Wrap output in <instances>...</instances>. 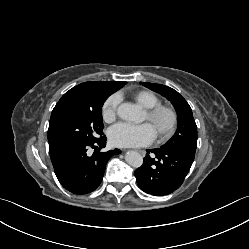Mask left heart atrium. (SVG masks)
I'll list each match as a JSON object with an SVG mask.
<instances>
[{
	"label": "left heart atrium",
	"mask_w": 249,
	"mask_h": 249,
	"mask_svg": "<svg viewBox=\"0 0 249 249\" xmlns=\"http://www.w3.org/2000/svg\"><path fill=\"white\" fill-rule=\"evenodd\" d=\"M109 141L117 147H141L152 143L156 137L149 123L139 125L118 123L109 130Z\"/></svg>",
	"instance_id": "left-heart-atrium-1"
}]
</instances>
